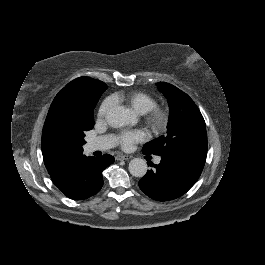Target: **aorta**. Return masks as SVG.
Masks as SVG:
<instances>
[{"label": "aorta", "instance_id": "aorta-1", "mask_svg": "<svg viewBox=\"0 0 265 265\" xmlns=\"http://www.w3.org/2000/svg\"><path fill=\"white\" fill-rule=\"evenodd\" d=\"M106 118L108 123L113 127H123L130 123L127 110L121 106L108 111ZM128 168L133 176L142 177L147 171V164L141 158H133Z\"/></svg>", "mask_w": 265, "mask_h": 265}]
</instances>
